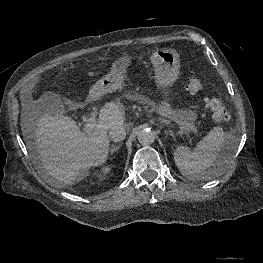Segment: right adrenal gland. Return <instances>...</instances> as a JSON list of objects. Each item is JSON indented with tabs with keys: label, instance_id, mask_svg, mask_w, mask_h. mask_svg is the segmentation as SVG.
<instances>
[{
	"label": "right adrenal gland",
	"instance_id": "2a0ac1e0",
	"mask_svg": "<svg viewBox=\"0 0 263 263\" xmlns=\"http://www.w3.org/2000/svg\"><path fill=\"white\" fill-rule=\"evenodd\" d=\"M121 148V144H119L118 146H115L114 144L111 146L110 148V153L111 155L114 154V152L118 151Z\"/></svg>",
	"mask_w": 263,
	"mask_h": 263
}]
</instances>
